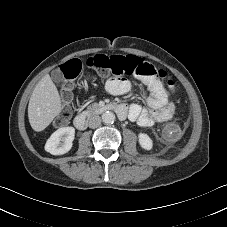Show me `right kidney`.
Returning <instances> with one entry per match:
<instances>
[{"mask_svg": "<svg viewBox=\"0 0 227 227\" xmlns=\"http://www.w3.org/2000/svg\"><path fill=\"white\" fill-rule=\"evenodd\" d=\"M75 137L73 127H63L56 130L45 144V150L52 155H62L70 151Z\"/></svg>", "mask_w": 227, "mask_h": 227, "instance_id": "1", "label": "right kidney"}]
</instances>
